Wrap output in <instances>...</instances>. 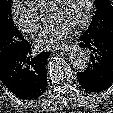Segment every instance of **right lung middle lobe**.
Returning <instances> with one entry per match:
<instances>
[{
  "label": "right lung middle lobe",
  "mask_w": 113,
  "mask_h": 113,
  "mask_svg": "<svg viewBox=\"0 0 113 113\" xmlns=\"http://www.w3.org/2000/svg\"><path fill=\"white\" fill-rule=\"evenodd\" d=\"M11 3L0 0V67L27 43L13 23Z\"/></svg>",
  "instance_id": "dd1d6c3e"
}]
</instances>
